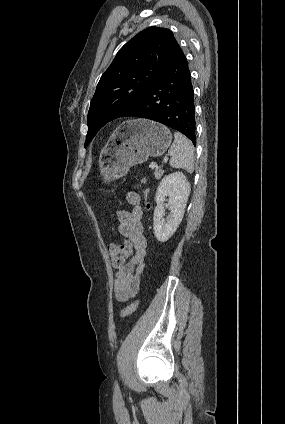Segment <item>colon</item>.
Instances as JSON below:
<instances>
[{
  "label": "colon",
  "instance_id": "5ec220e1",
  "mask_svg": "<svg viewBox=\"0 0 285 424\" xmlns=\"http://www.w3.org/2000/svg\"><path fill=\"white\" fill-rule=\"evenodd\" d=\"M145 181L142 179L139 181L137 187L141 188L144 193H147L144 188ZM108 253L111 259V262L114 266H120L130 254V245L128 243L118 244L112 243L108 246ZM138 305V302L135 301L128 305L122 312L121 317L126 318L134 313Z\"/></svg>",
  "mask_w": 285,
  "mask_h": 424
}]
</instances>
